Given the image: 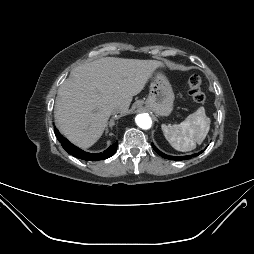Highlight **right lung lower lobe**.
<instances>
[{
  "label": "right lung lower lobe",
  "mask_w": 254,
  "mask_h": 254,
  "mask_svg": "<svg viewBox=\"0 0 254 254\" xmlns=\"http://www.w3.org/2000/svg\"><path fill=\"white\" fill-rule=\"evenodd\" d=\"M55 135L59 142L61 143L62 147L72 156L83 159V160H89V161H98V160H104L112 155L117 150L118 142H115L112 144L107 150H105L103 153H88L85 152L78 147L74 146L72 143H70L65 137H63L59 131L54 127Z\"/></svg>",
  "instance_id": "1"
}]
</instances>
